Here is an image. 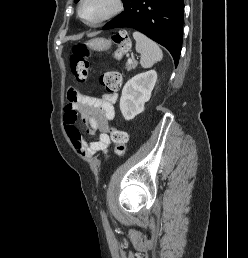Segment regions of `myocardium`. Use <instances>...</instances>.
<instances>
[{"label": "myocardium", "mask_w": 248, "mask_h": 258, "mask_svg": "<svg viewBox=\"0 0 248 258\" xmlns=\"http://www.w3.org/2000/svg\"><path fill=\"white\" fill-rule=\"evenodd\" d=\"M85 2L86 0H80L78 5V15L81 20L89 26H100L108 21H111L117 17L123 9V0H113V7L109 12L95 21H88L83 15V6Z\"/></svg>", "instance_id": "f54148a6"}]
</instances>
